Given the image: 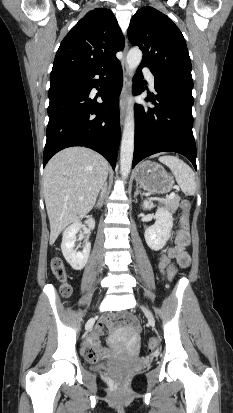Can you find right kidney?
<instances>
[{
	"instance_id": "ca27d5eb",
	"label": "right kidney",
	"mask_w": 233,
	"mask_h": 413,
	"mask_svg": "<svg viewBox=\"0 0 233 413\" xmlns=\"http://www.w3.org/2000/svg\"><path fill=\"white\" fill-rule=\"evenodd\" d=\"M85 223L87 224L90 230H93L95 227V220L93 218H88ZM83 227L82 222L76 221L70 226H68L63 232V238L61 243V249L63 256L65 257L66 261L71 265L74 270H81L85 267L89 255L91 244L86 243L82 252H77L75 247L76 242V234L81 230Z\"/></svg>"
}]
</instances>
